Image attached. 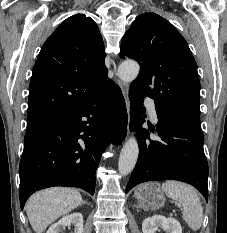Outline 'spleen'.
Here are the masks:
<instances>
[{
    "mask_svg": "<svg viewBox=\"0 0 227 233\" xmlns=\"http://www.w3.org/2000/svg\"><path fill=\"white\" fill-rule=\"evenodd\" d=\"M161 190L182 204L185 222L193 231L198 230L203 221V208L195 189L183 182L168 180L162 184Z\"/></svg>",
    "mask_w": 227,
    "mask_h": 233,
    "instance_id": "1",
    "label": "spleen"
}]
</instances>
